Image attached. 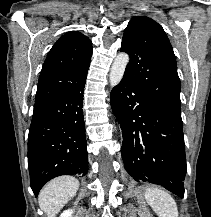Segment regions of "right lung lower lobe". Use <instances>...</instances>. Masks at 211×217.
I'll list each match as a JSON object with an SVG mask.
<instances>
[{"mask_svg": "<svg viewBox=\"0 0 211 217\" xmlns=\"http://www.w3.org/2000/svg\"><path fill=\"white\" fill-rule=\"evenodd\" d=\"M85 80L86 77L68 92L34 106L28 168L36 197L49 180L60 175H85L88 171L82 110Z\"/></svg>", "mask_w": 211, "mask_h": 217, "instance_id": "right-lung-lower-lobe-1", "label": "right lung lower lobe"}]
</instances>
